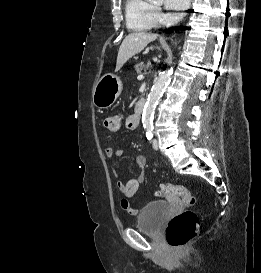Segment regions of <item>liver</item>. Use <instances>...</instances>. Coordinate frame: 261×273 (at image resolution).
I'll return each mask as SVG.
<instances>
[{
  "mask_svg": "<svg viewBox=\"0 0 261 273\" xmlns=\"http://www.w3.org/2000/svg\"><path fill=\"white\" fill-rule=\"evenodd\" d=\"M158 35L154 33H131L123 40L117 56L116 71L135 54L140 53L149 43L155 41Z\"/></svg>",
  "mask_w": 261,
  "mask_h": 273,
  "instance_id": "obj_1",
  "label": "liver"
}]
</instances>
